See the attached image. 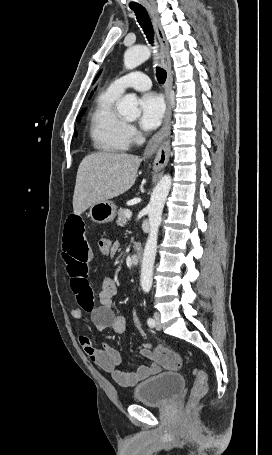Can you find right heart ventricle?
Wrapping results in <instances>:
<instances>
[{
	"label": "right heart ventricle",
	"mask_w": 272,
	"mask_h": 455,
	"mask_svg": "<svg viewBox=\"0 0 272 455\" xmlns=\"http://www.w3.org/2000/svg\"><path fill=\"white\" fill-rule=\"evenodd\" d=\"M119 96L109 88L105 89L98 95L90 112L89 137L98 151L120 153L130 145L127 124L114 108Z\"/></svg>",
	"instance_id": "e07e8e85"
}]
</instances>
